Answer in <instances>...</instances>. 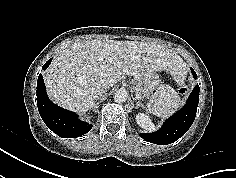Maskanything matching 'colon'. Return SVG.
<instances>
[{
    "mask_svg": "<svg viewBox=\"0 0 236 178\" xmlns=\"http://www.w3.org/2000/svg\"><path fill=\"white\" fill-rule=\"evenodd\" d=\"M188 90H189V85L188 84H181L180 87H179V92L181 94L187 93Z\"/></svg>",
    "mask_w": 236,
    "mask_h": 178,
    "instance_id": "obj_1",
    "label": "colon"
}]
</instances>
